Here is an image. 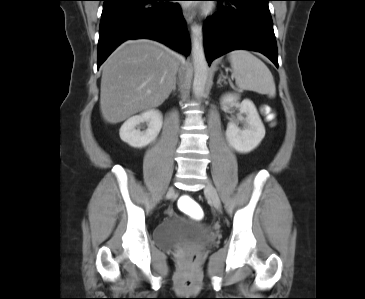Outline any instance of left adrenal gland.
Listing matches in <instances>:
<instances>
[{
    "mask_svg": "<svg viewBox=\"0 0 365 299\" xmlns=\"http://www.w3.org/2000/svg\"><path fill=\"white\" fill-rule=\"evenodd\" d=\"M222 82H224V84H226L225 79H223V74L221 73V74L219 75V78H218L217 84H218V85H221V83H222Z\"/></svg>",
    "mask_w": 365,
    "mask_h": 299,
    "instance_id": "left-adrenal-gland-1",
    "label": "left adrenal gland"
}]
</instances>
